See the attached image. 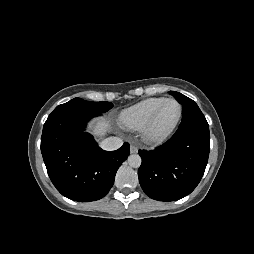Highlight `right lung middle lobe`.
Wrapping results in <instances>:
<instances>
[{
  "instance_id": "dd1d6c3e",
  "label": "right lung middle lobe",
  "mask_w": 254,
  "mask_h": 254,
  "mask_svg": "<svg viewBox=\"0 0 254 254\" xmlns=\"http://www.w3.org/2000/svg\"><path fill=\"white\" fill-rule=\"evenodd\" d=\"M113 107L110 102H90L81 98H74L67 103L57 106L56 108H73L81 111L101 114L107 112Z\"/></svg>"
}]
</instances>
